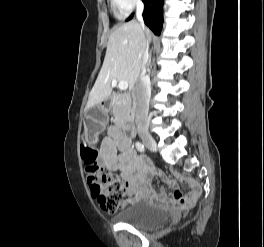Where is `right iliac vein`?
<instances>
[{
	"instance_id": "obj_1",
	"label": "right iliac vein",
	"mask_w": 264,
	"mask_h": 247,
	"mask_svg": "<svg viewBox=\"0 0 264 247\" xmlns=\"http://www.w3.org/2000/svg\"><path fill=\"white\" fill-rule=\"evenodd\" d=\"M140 137L144 143V145L150 149L155 151L157 149V145L156 142L154 140V138L151 136V134L147 131H141L140 132Z\"/></svg>"
}]
</instances>
